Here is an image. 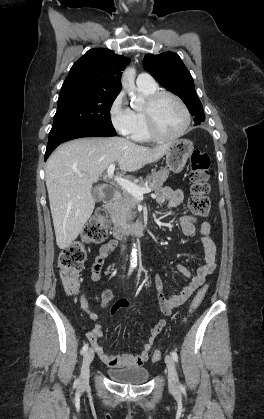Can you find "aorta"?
Listing matches in <instances>:
<instances>
[{
  "instance_id": "obj_1",
  "label": "aorta",
  "mask_w": 264,
  "mask_h": 419,
  "mask_svg": "<svg viewBox=\"0 0 264 419\" xmlns=\"http://www.w3.org/2000/svg\"><path fill=\"white\" fill-rule=\"evenodd\" d=\"M135 69L132 67H128L124 70L122 74V87L128 91L129 96L132 98L133 107L138 108L141 106L144 102V100L140 97H137L135 94L136 86H135ZM138 250H137V244H133L132 252H131V259H130V266L136 267L137 266V260H138Z\"/></svg>"
}]
</instances>
